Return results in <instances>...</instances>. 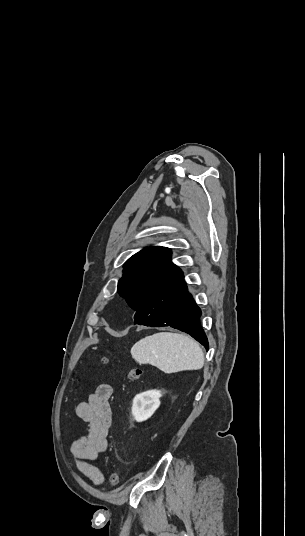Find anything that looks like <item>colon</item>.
Segmentation results:
<instances>
[{"mask_svg":"<svg viewBox=\"0 0 305 536\" xmlns=\"http://www.w3.org/2000/svg\"><path fill=\"white\" fill-rule=\"evenodd\" d=\"M104 362H107L106 358H103ZM142 376V370L138 367H132L127 371V378L131 381H136ZM110 483L116 486L119 482V476L115 471H112L109 475Z\"/></svg>","mask_w":305,"mask_h":536,"instance_id":"1","label":"colon"}]
</instances>
